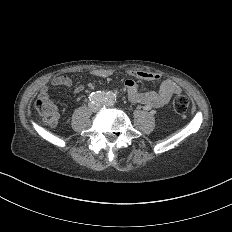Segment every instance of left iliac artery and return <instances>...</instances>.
I'll list each match as a JSON object with an SVG mask.
<instances>
[{"label": "left iliac artery", "mask_w": 232, "mask_h": 232, "mask_svg": "<svg viewBox=\"0 0 232 232\" xmlns=\"http://www.w3.org/2000/svg\"><path fill=\"white\" fill-rule=\"evenodd\" d=\"M105 102L109 106H113L116 103V95L114 93H109L105 99Z\"/></svg>", "instance_id": "obj_1"}]
</instances>
